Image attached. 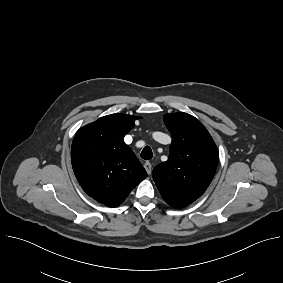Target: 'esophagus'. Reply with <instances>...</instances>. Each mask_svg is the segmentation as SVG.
<instances>
[{"label":"esophagus","instance_id":"1","mask_svg":"<svg viewBox=\"0 0 283 283\" xmlns=\"http://www.w3.org/2000/svg\"><path fill=\"white\" fill-rule=\"evenodd\" d=\"M144 168L146 169L147 173L150 175L152 172V164L150 162H145Z\"/></svg>","mask_w":283,"mask_h":283}]
</instances>
